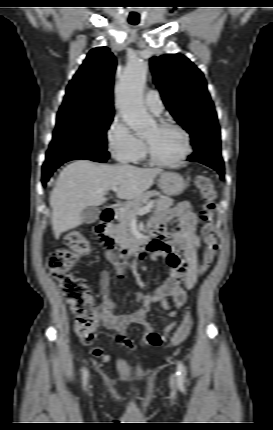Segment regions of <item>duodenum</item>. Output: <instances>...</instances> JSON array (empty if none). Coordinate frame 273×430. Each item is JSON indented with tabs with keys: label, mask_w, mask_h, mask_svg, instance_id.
<instances>
[{
	"label": "duodenum",
	"mask_w": 273,
	"mask_h": 430,
	"mask_svg": "<svg viewBox=\"0 0 273 430\" xmlns=\"http://www.w3.org/2000/svg\"><path fill=\"white\" fill-rule=\"evenodd\" d=\"M117 213V210L113 206L106 207L101 213L99 223L96 226L95 232L98 239L106 247L109 253H115L114 241L109 236L108 228L109 224L113 221ZM154 239L140 238L134 240L131 244L124 247L119 252V258L122 261H126L136 255L151 250L153 247Z\"/></svg>",
	"instance_id": "duodenum-1"
}]
</instances>
